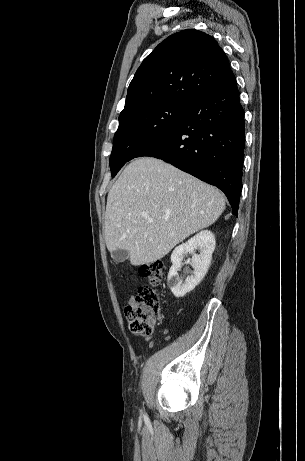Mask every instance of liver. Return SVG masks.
<instances>
[{
	"label": "liver",
	"mask_w": 305,
	"mask_h": 461,
	"mask_svg": "<svg viewBox=\"0 0 305 461\" xmlns=\"http://www.w3.org/2000/svg\"><path fill=\"white\" fill-rule=\"evenodd\" d=\"M224 210V196L213 186L162 160L138 158L108 193L106 246L111 253L127 250L134 266L149 264L212 225Z\"/></svg>",
	"instance_id": "obj_1"
}]
</instances>
